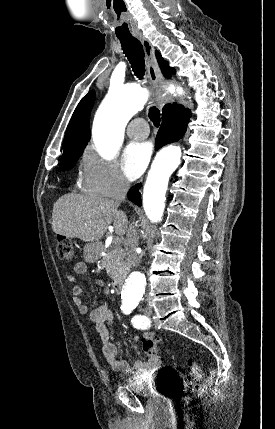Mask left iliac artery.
Here are the masks:
<instances>
[{"instance_id":"obj_1","label":"left iliac artery","mask_w":275,"mask_h":429,"mask_svg":"<svg viewBox=\"0 0 275 429\" xmlns=\"http://www.w3.org/2000/svg\"><path fill=\"white\" fill-rule=\"evenodd\" d=\"M133 310L132 307L124 308L123 312L129 314ZM133 326L137 329H147L150 325V320L144 315H135L131 320Z\"/></svg>"}]
</instances>
